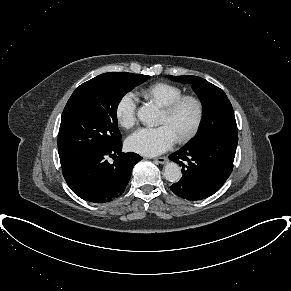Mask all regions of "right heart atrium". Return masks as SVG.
<instances>
[{
	"mask_svg": "<svg viewBox=\"0 0 291 291\" xmlns=\"http://www.w3.org/2000/svg\"><path fill=\"white\" fill-rule=\"evenodd\" d=\"M116 120L124 129H131L137 122V100L133 93H125L117 102Z\"/></svg>",
	"mask_w": 291,
	"mask_h": 291,
	"instance_id": "obj_1",
	"label": "right heart atrium"
}]
</instances>
